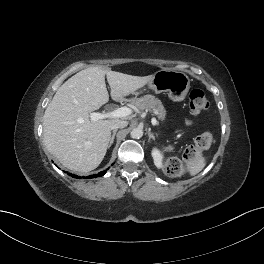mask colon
Here are the masks:
<instances>
[{
	"label": "colon",
	"mask_w": 264,
	"mask_h": 264,
	"mask_svg": "<svg viewBox=\"0 0 264 264\" xmlns=\"http://www.w3.org/2000/svg\"><path fill=\"white\" fill-rule=\"evenodd\" d=\"M189 107L191 112L194 114H201L209 109V100L207 99L205 93L202 90L194 89L190 92ZM211 142V132L206 131L199 135L195 139L194 144L189 146L184 151L183 162H180L178 159L175 158H171L167 161L166 169L168 173L172 176L180 175L188 165L197 160V158L204 150L209 148Z\"/></svg>",
	"instance_id": "5ec220e1"
}]
</instances>
